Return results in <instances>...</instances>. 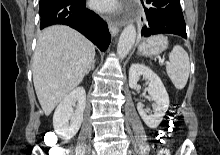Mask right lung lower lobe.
Instances as JSON below:
<instances>
[{
	"label": "right lung lower lobe",
	"mask_w": 220,
	"mask_h": 155,
	"mask_svg": "<svg viewBox=\"0 0 220 155\" xmlns=\"http://www.w3.org/2000/svg\"><path fill=\"white\" fill-rule=\"evenodd\" d=\"M40 29L53 24L68 25L105 51L111 40L106 22L86 8V0H56L40 7Z\"/></svg>",
	"instance_id": "98d812e1"
}]
</instances>
